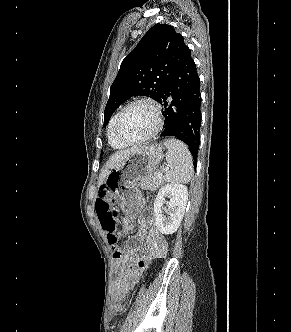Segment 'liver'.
Wrapping results in <instances>:
<instances>
[{
	"mask_svg": "<svg viewBox=\"0 0 291 332\" xmlns=\"http://www.w3.org/2000/svg\"><path fill=\"white\" fill-rule=\"evenodd\" d=\"M140 147H134V148H130L127 150H121L118 151L116 153H114L106 162V164L104 165L100 176H99V180H98V184L102 185L104 183L105 178L108 176V174L110 173V171L114 168H116L118 166V164L126 157L128 156L130 153H132L133 151L139 149Z\"/></svg>",
	"mask_w": 291,
	"mask_h": 332,
	"instance_id": "1",
	"label": "liver"
}]
</instances>
